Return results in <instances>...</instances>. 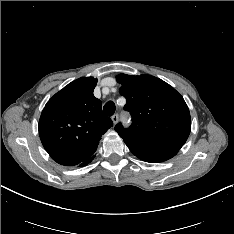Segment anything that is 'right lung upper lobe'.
<instances>
[{
    "label": "right lung upper lobe",
    "mask_w": 234,
    "mask_h": 234,
    "mask_svg": "<svg viewBox=\"0 0 234 234\" xmlns=\"http://www.w3.org/2000/svg\"><path fill=\"white\" fill-rule=\"evenodd\" d=\"M97 79H77L56 93L45 105L39 120L41 142L61 165L85 166L95 157L101 136L113 126L94 97Z\"/></svg>",
    "instance_id": "1"
}]
</instances>
